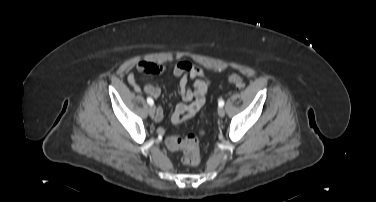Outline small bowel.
I'll list each match as a JSON object with an SVG mask.
<instances>
[{
	"mask_svg": "<svg viewBox=\"0 0 376 202\" xmlns=\"http://www.w3.org/2000/svg\"><path fill=\"white\" fill-rule=\"evenodd\" d=\"M136 69L140 73L150 75L159 74L165 70H171L173 76L180 79L179 92L183 102L175 107V110L171 115V122L174 125L194 117L206 102L208 90L210 88V80L206 77L204 71L200 67L195 66L190 62L181 61L175 64L158 65L154 62L141 60L136 64ZM127 79L136 92L141 91L135 73L130 72ZM143 90L146 94L155 99L161 94V90L151 84L144 86ZM163 117V109L159 106L156 109V115L154 118L157 122H160L163 120Z\"/></svg>",
	"mask_w": 376,
	"mask_h": 202,
	"instance_id": "c3829d8e",
	"label": "small bowel"
}]
</instances>
